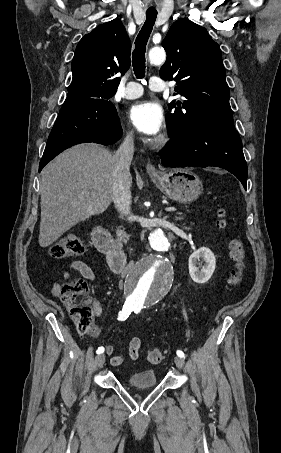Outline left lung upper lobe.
Here are the masks:
<instances>
[{
    "label": "left lung upper lobe",
    "mask_w": 281,
    "mask_h": 453,
    "mask_svg": "<svg viewBox=\"0 0 281 453\" xmlns=\"http://www.w3.org/2000/svg\"><path fill=\"white\" fill-rule=\"evenodd\" d=\"M162 46L167 59L160 77L177 81L175 95L186 98L169 104L174 109L166 115L170 138L208 123L232 120L221 50L207 30L188 19H178Z\"/></svg>",
    "instance_id": "left-lung-upper-lobe-1"
}]
</instances>
